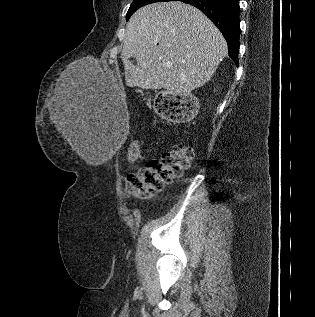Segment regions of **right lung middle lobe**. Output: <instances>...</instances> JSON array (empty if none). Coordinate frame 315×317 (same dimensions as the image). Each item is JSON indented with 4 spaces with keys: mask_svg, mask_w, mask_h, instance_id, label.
Segmentation results:
<instances>
[{
    "mask_svg": "<svg viewBox=\"0 0 315 317\" xmlns=\"http://www.w3.org/2000/svg\"><path fill=\"white\" fill-rule=\"evenodd\" d=\"M167 1H177V0H133L127 15L126 19L128 20L130 16L140 7L145 6L147 4L156 3V2H167Z\"/></svg>",
    "mask_w": 315,
    "mask_h": 317,
    "instance_id": "dd1d6c3e",
    "label": "right lung middle lobe"
}]
</instances>
